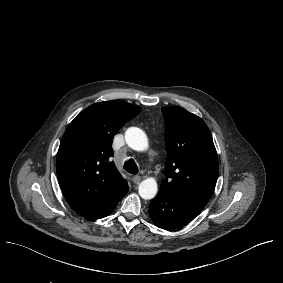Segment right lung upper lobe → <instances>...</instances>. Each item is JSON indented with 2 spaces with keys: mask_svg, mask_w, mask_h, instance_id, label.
<instances>
[{
  "mask_svg": "<svg viewBox=\"0 0 283 283\" xmlns=\"http://www.w3.org/2000/svg\"><path fill=\"white\" fill-rule=\"evenodd\" d=\"M141 108L127 102H99L83 110L68 126L57 154V177L63 194L80 214L99 219L128 191L117 171L112 140Z\"/></svg>",
  "mask_w": 283,
  "mask_h": 283,
  "instance_id": "obj_1",
  "label": "right lung upper lobe"
}]
</instances>
